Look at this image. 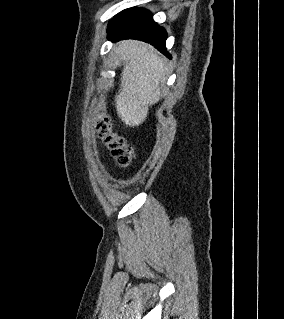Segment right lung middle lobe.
I'll return each mask as SVG.
<instances>
[{"label": "right lung middle lobe", "mask_w": 284, "mask_h": 319, "mask_svg": "<svg viewBox=\"0 0 284 319\" xmlns=\"http://www.w3.org/2000/svg\"><path fill=\"white\" fill-rule=\"evenodd\" d=\"M128 10H124L122 12H120L119 14H117L110 22H109V26L115 22L119 17H121L124 13H126Z\"/></svg>", "instance_id": "dd1d6c3e"}]
</instances>
